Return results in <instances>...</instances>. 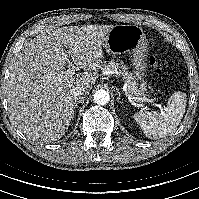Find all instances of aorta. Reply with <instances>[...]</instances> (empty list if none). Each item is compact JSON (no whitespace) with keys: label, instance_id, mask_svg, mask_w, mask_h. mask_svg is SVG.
I'll return each instance as SVG.
<instances>
[{"label":"aorta","instance_id":"1","mask_svg":"<svg viewBox=\"0 0 199 199\" xmlns=\"http://www.w3.org/2000/svg\"><path fill=\"white\" fill-rule=\"evenodd\" d=\"M93 100L98 105H106L110 100V96L107 91L100 89L94 93Z\"/></svg>","mask_w":199,"mask_h":199}]
</instances>
